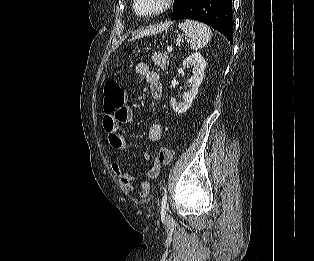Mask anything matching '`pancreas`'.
Returning a JSON list of instances; mask_svg holds the SVG:
<instances>
[{
  "mask_svg": "<svg viewBox=\"0 0 314 261\" xmlns=\"http://www.w3.org/2000/svg\"><path fill=\"white\" fill-rule=\"evenodd\" d=\"M151 60L156 66L160 67L162 70H166L167 66L170 63V58L165 53H155L151 57Z\"/></svg>",
  "mask_w": 314,
  "mask_h": 261,
  "instance_id": "pancreas-1",
  "label": "pancreas"
}]
</instances>
